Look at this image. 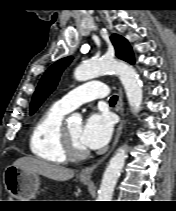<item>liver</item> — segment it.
Masks as SVG:
<instances>
[{
	"mask_svg": "<svg viewBox=\"0 0 176 211\" xmlns=\"http://www.w3.org/2000/svg\"><path fill=\"white\" fill-rule=\"evenodd\" d=\"M13 166L26 172L43 175L56 181H67L74 177V170L46 162L33 157H22L17 159Z\"/></svg>",
	"mask_w": 176,
	"mask_h": 211,
	"instance_id": "obj_1",
	"label": "liver"
}]
</instances>
